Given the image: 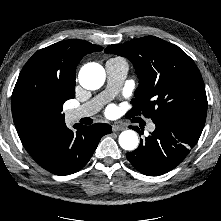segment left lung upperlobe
Instances as JSON below:
<instances>
[{
  "instance_id": "left-lung-upper-lobe-1",
  "label": "left lung upper lobe",
  "mask_w": 221,
  "mask_h": 221,
  "mask_svg": "<svg viewBox=\"0 0 221 221\" xmlns=\"http://www.w3.org/2000/svg\"><path fill=\"white\" fill-rule=\"evenodd\" d=\"M105 53L128 58L139 86L127 117L144 115L153 122L188 121L204 126L207 97L194 61L178 46L154 36L109 45Z\"/></svg>"
}]
</instances>
